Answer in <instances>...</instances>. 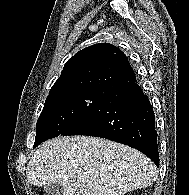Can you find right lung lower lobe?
I'll return each mask as SVG.
<instances>
[{
  "label": "right lung lower lobe",
  "mask_w": 189,
  "mask_h": 195,
  "mask_svg": "<svg viewBox=\"0 0 189 195\" xmlns=\"http://www.w3.org/2000/svg\"><path fill=\"white\" fill-rule=\"evenodd\" d=\"M62 135H88L119 142L141 151L159 166L155 115L135 81L109 93Z\"/></svg>",
  "instance_id": "right-lung-lower-lobe-1"
}]
</instances>
